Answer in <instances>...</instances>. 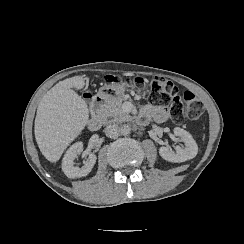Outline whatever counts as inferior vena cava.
Returning <instances> with one entry per match:
<instances>
[{
  "mask_svg": "<svg viewBox=\"0 0 244 244\" xmlns=\"http://www.w3.org/2000/svg\"><path fill=\"white\" fill-rule=\"evenodd\" d=\"M119 126L117 124H110L105 128L106 136L115 138L118 135Z\"/></svg>",
  "mask_w": 244,
  "mask_h": 244,
  "instance_id": "inferior-vena-cava-1",
  "label": "inferior vena cava"
}]
</instances>
